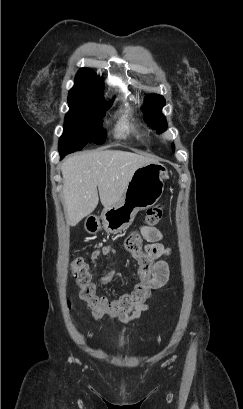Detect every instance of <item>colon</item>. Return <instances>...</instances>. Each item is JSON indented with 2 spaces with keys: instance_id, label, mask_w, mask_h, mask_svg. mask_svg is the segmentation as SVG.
Wrapping results in <instances>:
<instances>
[{
  "instance_id": "5ec220e1",
  "label": "colon",
  "mask_w": 243,
  "mask_h": 409,
  "mask_svg": "<svg viewBox=\"0 0 243 409\" xmlns=\"http://www.w3.org/2000/svg\"><path fill=\"white\" fill-rule=\"evenodd\" d=\"M163 215V207L158 204L150 207L146 212L143 227H154L159 223ZM126 250L134 257H143L142 238L138 231H132L125 239ZM71 271L81 289V296L87 300L94 310L106 312L112 315L129 310L132 306L142 304L148 296V291L142 287H136L131 293L115 300L96 295L95 285L91 281L90 269L83 259H74L71 262ZM145 273L149 268L144 269Z\"/></svg>"
}]
</instances>
